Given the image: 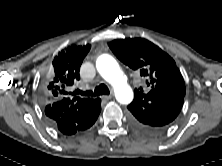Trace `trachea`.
Listing matches in <instances>:
<instances>
[{"instance_id": "trachea-1", "label": "trachea", "mask_w": 222, "mask_h": 166, "mask_svg": "<svg viewBox=\"0 0 222 166\" xmlns=\"http://www.w3.org/2000/svg\"><path fill=\"white\" fill-rule=\"evenodd\" d=\"M75 94H80L82 96H98V95H109L110 91L109 88L105 85V84H100L99 86H97L93 91H81V90H77L75 92Z\"/></svg>"}]
</instances>
